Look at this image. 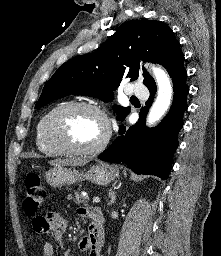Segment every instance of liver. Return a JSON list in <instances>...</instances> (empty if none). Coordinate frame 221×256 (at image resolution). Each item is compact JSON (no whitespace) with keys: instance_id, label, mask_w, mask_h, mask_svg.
Masks as SVG:
<instances>
[{"instance_id":"6515ba94","label":"liver","mask_w":221,"mask_h":256,"mask_svg":"<svg viewBox=\"0 0 221 256\" xmlns=\"http://www.w3.org/2000/svg\"><path fill=\"white\" fill-rule=\"evenodd\" d=\"M87 163V160H83L80 158H70V159H55L49 161V164L54 167H60V166H78V165H84Z\"/></svg>"}]
</instances>
